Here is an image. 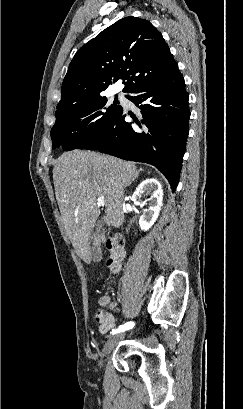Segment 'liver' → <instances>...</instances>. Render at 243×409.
I'll return each mask as SVG.
<instances>
[{"mask_svg": "<svg viewBox=\"0 0 243 409\" xmlns=\"http://www.w3.org/2000/svg\"><path fill=\"white\" fill-rule=\"evenodd\" d=\"M134 163L90 151L63 153L53 168L55 195L66 234L76 252L90 258V237L100 215L97 198L105 202L104 223L124 222L125 188L138 176Z\"/></svg>", "mask_w": 243, "mask_h": 409, "instance_id": "6515ba94", "label": "liver"}]
</instances>
